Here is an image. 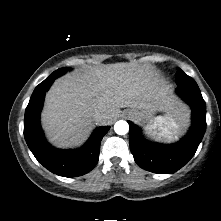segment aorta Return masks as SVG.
<instances>
[{"instance_id": "obj_1", "label": "aorta", "mask_w": 221, "mask_h": 221, "mask_svg": "<svg viewBox=\"0 0 221 221\" xmlns=\"http://www.w3.org/2000/svg\"><path fill=\"white\" fill-rule=\"evenodd\" d=\"M114 130L118 135H125L129 131V125L124 120H119L114 125Z\"/></svg>"}]
</instances>
